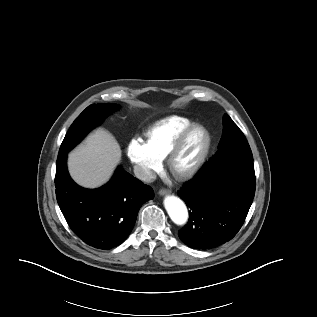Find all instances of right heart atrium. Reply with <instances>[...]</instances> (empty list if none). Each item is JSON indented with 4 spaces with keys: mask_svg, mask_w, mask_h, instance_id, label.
I'll return each mask as SVG.
<instances>
[{
    "mask_svg": "<svg viewBox=\"0 0 317 317\" xmlns=\"http://www.w3.org/2000/svg\"><path fill=\"white\" fill-rule=\"evenodd\" d=\"M128 157L133 164L137 177L149 181L161 167V159L157 157L140 138H133L128 145Z\"/></svg>",
    "mask_w": 317,
    "mask_h": 317,
    "instance_id": "d8ad5b80",
    "label": "right heart atrium"
}]
</instances>
